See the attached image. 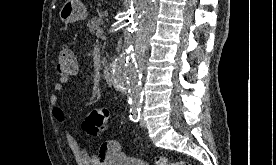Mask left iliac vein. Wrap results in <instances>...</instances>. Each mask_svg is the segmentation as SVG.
Segmentation results:
<instances>
[{
  "instance_id": "4c4485c4",
  "label": "left iliac vein",
  "mask_w": 276,
  "mask_h": 165,
  "mask_svg": "<svg viewBox=\"0 0 276 165\" xmlns=\"http://www.w3.org/2000/svg\"><path fill=\"white\" fill-rule=\"evenodd\" d=\"M139 124H140V126H141V127H143V128H145V127H146V122H145V120H144L143 116H141V117H140Z\"/></svg>"
}]
</instances>
